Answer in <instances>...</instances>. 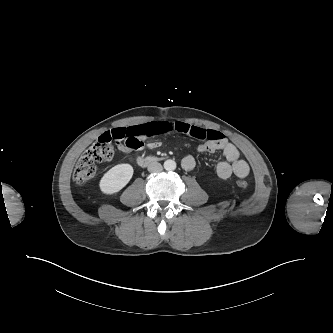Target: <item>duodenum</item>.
<instances>
[{
    "instance_id": "duodenum-1",
    "label": "duodenum",
    "mask_w": 333,
    "mask_h": 333,
    "mask_svg": "<svg viewBox=\"0 0 333 333\" xmlns=\"http://www.w3.org/2000/svg\"><path fill=\"white\" fill-rule=\"evenodd\" d=\"M158 161V158L155 156H138L136 158V162L140 165V166H147L151 163H154Z\"/></svg>"
}]
</instances>
